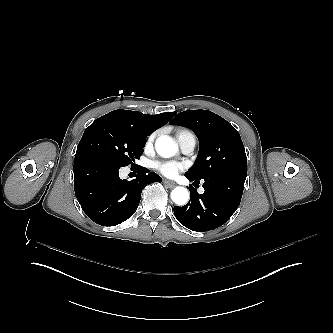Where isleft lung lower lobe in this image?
Masks as SVG:
<instances>
[{
  "mask_svg": "<svg viewBox=\"0 0 333 333\" xmlns=\"http://www.w3.org/2000/svg\"><path fill=\"white\" fill-rule=\"evenodd\" d=\"M186 177L194 183H199L197 179ZM245 179L246 176L237 174L218 175L211 181L204 182L203 194H199L190 185V202L183 207H174L176 219L186 228L198 232L223 225L240 204Z\"/></svg>",
  "mask_w": 333,
  "mask_h": 333,
  "instance_id": "1",
  "label": "left lung lower lobe"
}]
</instances>
